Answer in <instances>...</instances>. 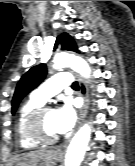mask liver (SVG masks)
Returning a JSON list of instances; mask_svg holds the SVG:
<instances>
[{
  "label": "liver",
  "instance_id": "1",
  "mask_svg": "<svg viewBox=\"0 0 135 166\" xmlns=\"http://www.w3.org/2000/svg\"><path fill=\"white\" fill-rule=\"evenodd\" d=\"M50 154L51 151L46 149L30 151L14 157L11 164L15 163L16 166H32L37 162L42 161L45 165H51Z\"/></svg>",
  "mask_w": 135,
  "mask_h": 166
}]
</instances>
